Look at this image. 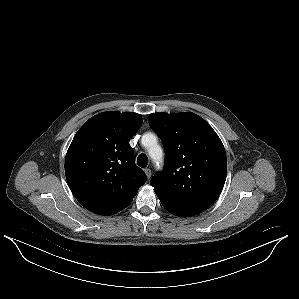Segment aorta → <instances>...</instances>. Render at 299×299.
Returning <instances> with one entry per match:
<instances>
[{
    "label": "aorta",
    "mask_w": 299,
    "mask_h": 299,
    "mask_svg": "<svg viewBox=\"0 0 299 299\" xmlns=\"http://www.w3.org/2000/svg\"><path fill=\"white\" fill-rule=\"evenodd\" d=\"M143 143L146 147H149V155L155 160L159 161L162 157V149L156 145V137L153 134H146L143 136ZM158 153V156H155Z\"/></svg>",
    "instance_id": "obj_1"
}]
</instances>
